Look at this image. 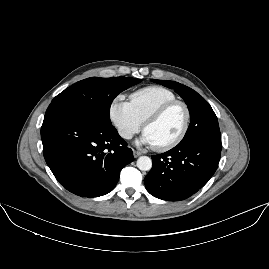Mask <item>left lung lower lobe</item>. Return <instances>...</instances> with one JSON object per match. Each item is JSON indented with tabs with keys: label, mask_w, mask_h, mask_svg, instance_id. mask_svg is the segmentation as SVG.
Masks as SVG:
<instances>
[{
	"label": "left lung lower lobe",
	"mask_w": 269,
	"mask_h": 269,
	"mask_svg": "<svg viewBox=\"0 0 269 269\" xmlns=\"http://www.w3.org/2000/svg\"><path fill=\"white\" fill-rule=\"evenodd\" d=\"M221 141L203 139L178 144L152 156L153 166L144 179L147 191L163 200H184L201 189L215 173Z\"/></svg>",
	"instance_id": "left-lung-lower-lobe-1"
}]
</instances>
